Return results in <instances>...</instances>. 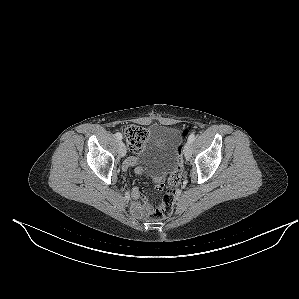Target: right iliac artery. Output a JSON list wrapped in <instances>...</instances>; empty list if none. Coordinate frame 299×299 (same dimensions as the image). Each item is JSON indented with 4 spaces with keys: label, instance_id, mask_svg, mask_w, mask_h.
Wrapping results in <instances>:
<instances>
[{
    "label": "right iliac artery",
    "instance_id": "right-iliac-artery-1",
    "mask_svg": "<svg viewBox=\"0 0 299 299\" xmlns=\"http://www.w3.org/2000/svg\"><path fill=\"white\" fill-rule=\"evenodd\" d=\"M115 136H116V138L118 139V140H122V134L121 133H119V132H117L116 134H115Z\"/></svg>",
    "mask_w": 299,
    "mask_h": 299
}]
</instances>
